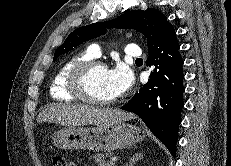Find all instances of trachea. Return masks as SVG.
<instances>
[{"label":"trachea","instance_id":"1","mask_svg":"<svg viewBox=\"0 0 231 166\" xmlns=\"http://www.w3.org/2000/svg\"><path fill=\"white\" fill-rule=\"evenodd\" d=\"M136 61H143L141 58H137Z\"/></svg>","mask_w":231,"mask_h":166}]
</instances>
